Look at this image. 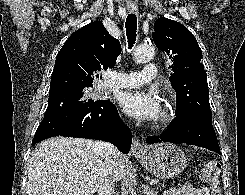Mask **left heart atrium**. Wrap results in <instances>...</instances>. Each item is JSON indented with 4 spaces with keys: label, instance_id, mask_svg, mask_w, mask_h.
<instances>
[{
    "label": "left heart atrium",
    "instance_id": "1",
    "mask_svg": "<svg viewBox=\"0 0 245 195\" xmlns=\"http://www.w3.org/2000/svg\"><path fill=\"white\" fill-rule=\"evenodd\" d=\"M118 101L125 113L141 121H154L158 118L160 103L151 92L133 89L121 92Z\"/></svg>",
    "mask_w": 245,
    "mask_h": 195
}]
</instances>
